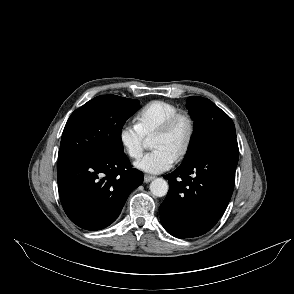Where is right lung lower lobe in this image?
Instances as JSON below:
<instances>
[{
    "label": "right lung lower lobe",
    "instance_id": "right-lung-lower-lobe-1",
    "mask_svg": "<svg viewBox=\"0 0 294 294\" xmlns=\"http://www.w3.org/2000/svg\"><path fill=\"white\" fill-rule=\"evenodd\" d=\"M58 190L65 213L77 226L100 230L113 223L129 194L143 182L123 152L76 156L58 163Z\"/></svg>",
    "mask_w": 294,
    "mask_h": 294
}]
</instances>
